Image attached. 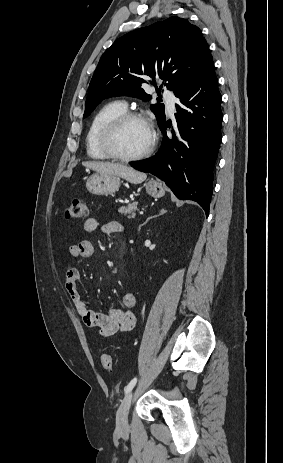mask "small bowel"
Segmentation results:
<instances>
[{"label": "small bowel", "mask_w": 283, "mask_h": 463, "mask_svg": "<svg viewBox=\"0 0 283 463\" xmlns=\"http://www.w3.org/2000/svg\"><path fill=\"white\" fill-rule=\"evenodd\" d=\"M98 228V221L95 217H89L84 222V229L87 232H94ZM101 230L103 234L111 235L123 232V226L116 221L103 223ZM95 252V246L91 241H82L71 245L68 249V263L65 269V289L74 307L84 324L90 328H96L104 337L116 333H126L133 330L136 324L135 315L132 312L136 304L135 294L126 292L122 295V308H113L107 311H95L90 308L86 299L78 290L79 270L72 265L73 259L82 260L91 257Z\"/></svg>", "instance_id": "1"}]
</instances>
